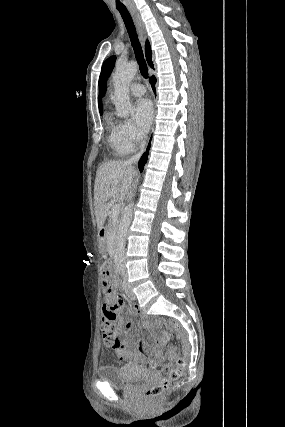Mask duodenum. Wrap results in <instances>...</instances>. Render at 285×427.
Wrapping results in <instances>:
<instances>
[{
	"mask_svg": "<svg viewBox=\"0 0 285 427\" xmlns=\"http://www.w3.org/2000/svg\"><path fill=\"white\" fill-rule=\"evenodd\" d=\"M109 232V228H101L99 231V242L101 244V246H103L105 244V239H106V235Z\"/></svg>",
	"mask_w": 285,
	"mask_h": 427,
	"instance_id": "duodenum-1",
	"label": "duodenum"
}]
</instances>
